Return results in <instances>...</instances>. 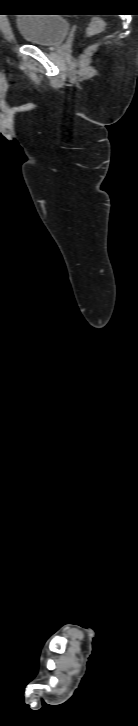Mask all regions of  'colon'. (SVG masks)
I'll return each mask as SVG.
<instances>
[{"mask_svg": "<svg viewBox=\"0 0 138 726\" xmlns=\"http://www.w3.org/2000/svg\"><path fill=\"white\" fill-rule=\"evenodd\" d=\"M104 21L99 18H94L89 23L87 29H86V35L88 37L97 35L101 33L104 30Z\"/></svg>", "mask_w": 138, "mask_h": 726, "instance_id": "colon-1", "label": "colon"}]
</instances>
